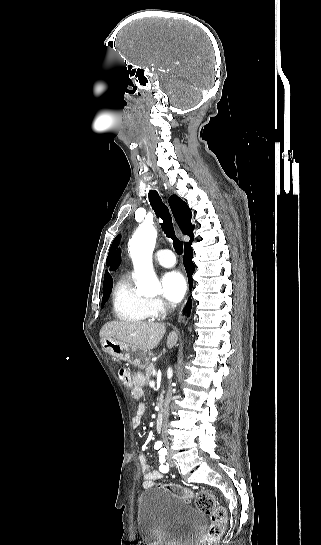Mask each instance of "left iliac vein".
I'll return each instance as SVG.
<instances>
[{"mask_svg":"<svg viewBox=\"0 0 321 545\" xmlns=\"http://www.w3.org/2000/svg\"><path fill=\"white\" fill-rule=\"evenodd\" d=\"M167 462L171 467L175 466V461L172 459V456L170 453L167 454Z\"/></svg>","mask_w":321,"mask_h":545,"instance_id":"obj_1","label":"left iliac vein"}]
</instances>
